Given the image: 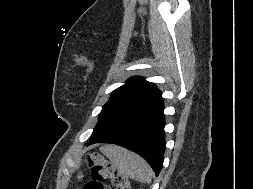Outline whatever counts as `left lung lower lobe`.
<instances>
[{
    "label": "left lung lower lobe",
    "instance_id": "0a47b994",
    "mask_svg": "<svg viewBox=\"0 0 253 189\" xmlns=\"http://www.w3.org/2000/svg\"><path fill=\"white\" fill-rule=\"evenodd\" d=\"M163 111L162 100L115 129L99 136H91L88 145L107 142L128 148L142 156L158 176L163 167L166 147Z\"/></svg>",
    "mask_w": 253,
    "mask_h": 189
}]
</instances>
